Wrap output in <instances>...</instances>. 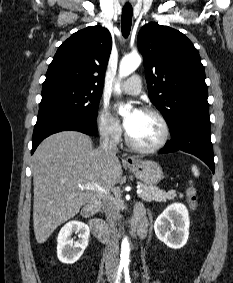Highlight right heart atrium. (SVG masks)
Wrapping results in <instances>:
<instances>
[{
	"mask_svg": "<svg viewBox=\"0 0 233 283\" xmlns=\"http://www.w3.org/2000/svg\"><path fill=\"white\" fill-rule=\"evenodd\" d=\"M98 130L101 136L111 142H117L122 133L121 125L106 106H103L97 117Z\"/></svg>",
	"mask_w": 233,
	"mask_h": 283,
	"instance_id": "d8ad5b80",
	"label": "right heart atrium"
}]
</instances>
